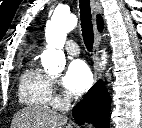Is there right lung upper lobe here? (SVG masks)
<instances>
[{
  "mask_svg": "<svg viewBox=\"0 0 142 128\" xmlns=\"http://www.w3.org/2000/svg\"><path fill=\"white\" fill-rule=\"evenodd\" d=\"M97 25H98V29L99 31H102L103 29V20L100 16L97 17Z\"/></svg>",
  "mask_w": 142,
  "mask_h": 128,
  "instance_id": "1",
  "label": "right lung upper lobe"
}]
</instances>
